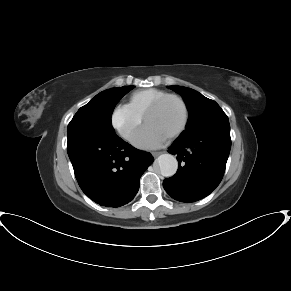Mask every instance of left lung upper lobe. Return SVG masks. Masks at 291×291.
Here are the masks:
<instances>
[{
  "instance_id": "5c2ea615",
  "label": "left lung upper lobe",
  "mask_w": 291,
  "mask_h": 291,
  "mask_svg": "<svg viewBox=\"0 0 291 291\" xmlns=\"http://www.w3.org/2000/svg\"><path fill=\"white\" fill-rule=\"evenodd\" d=\"M169 88L181 94L189 112L186 129L179 138L188 137L219 123L229 122L220 106L201 93L182 86H169Z\"/></svg>"
}]
</instances>
